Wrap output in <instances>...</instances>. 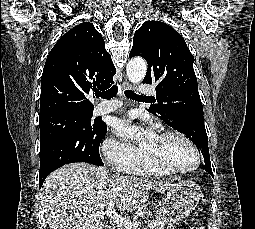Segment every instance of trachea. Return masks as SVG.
Returning <instances> with one entry per match:
<instances>
[{"mask_svg": "<svg viewBox=\"0 0 255 229\" xmlns=\"http://www.w3.org/2000/svg\"><path fill=\"white\" fill-rule=\"evenodd\" d=\"M117 91H118V86L115 85L104 92H96L95 96L101 97L103 99H111L116 95ZM125 95L130 99L149 98L146 96L137 95L136 93H134L132 90H129V89L125 91Z\"/></svg>", "mask_w": 255, "mask_h": 229, "instance_id": "1", "label": "trachea"}]
</instances>
